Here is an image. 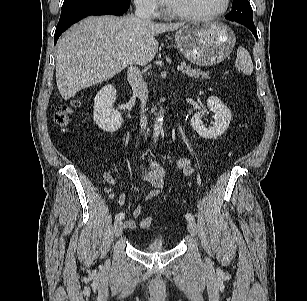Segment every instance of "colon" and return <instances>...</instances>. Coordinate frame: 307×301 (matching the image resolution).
<instances>
[{"mask_svg":"<svg viewBox=\"0 0 307 301\" xmlns=\"http://www.w3.org/2000/svg\"><path fill=\"white\" fill-rule=\"evenodd\" d=\"M79 105V101H72L68 104H61L57 107L54 113L55 123L61 127H66L71 119L74 109ZM153 218L151 216L143 217L140 221L141 228H148L151 226Z\"/></svg>","mask_w":307,"mask_h":301,"instance_id":"5ec220e1","label":"colon"}]
</instances>
